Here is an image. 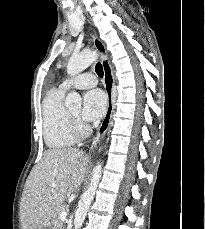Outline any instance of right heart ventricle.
I'll return each instance as SVG.
<instances>
[{"mask_svg":"<svg viewBox=\"0 0 205 229\" xmlns=\"http://www.w3.org/2000/svg\"><path fill=\"white\" fill-rule=\"evenodd\" d=\"M66 91L58 88L49 91L42 103L43 137L51 149H63L72 146L74 136L68 110L64 105Z\"/></svg>","mask_w":205,"mask_h":229,"instance_id":"1","label":"right heart ventricle"}]
</instances>
